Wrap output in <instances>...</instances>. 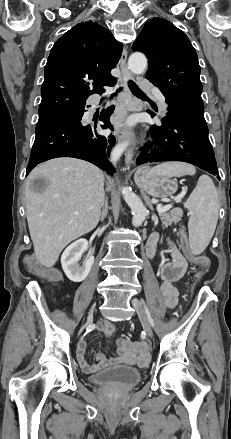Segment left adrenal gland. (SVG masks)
Masks as SVG:
<instances>
[{
	"mask_svg": "<svg viewBox=\"0 0 231 439\" xmlns=\"http://www.w3.org/2000/svg\"><path fill=\"white\" fill-rule=\"evenodd\" d=\"M142 195H143V198H144L146 204L148 205L149 209L154 211L153 205H152V203L150 201V198L145 193H142Z\"/></svg>",
	"mask_w": 231,
	"mask_h": 439,
	"instance_id": "left-adrenal-gland-1",
	"label": "left adrenal gland"
}]
</instances>
